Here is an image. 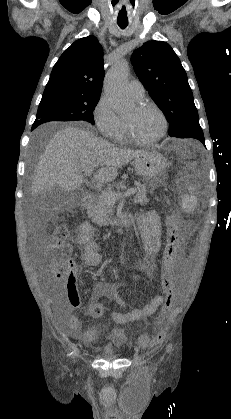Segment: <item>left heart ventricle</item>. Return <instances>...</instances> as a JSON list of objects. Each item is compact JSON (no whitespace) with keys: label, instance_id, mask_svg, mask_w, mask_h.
I'll list each match as a JSON object with an SVG mask.
<instances>
[{"label":"left heart ventricle","instance_id":"left-heart-ventricle-1","mask_svg":"<svg viewBox=\"0 0 231 419\" xmlns=\"http://www.w3.org/2000/svg\"><path fill=\"white\" fill-rule=\"evenodd\" d=\"M125 119L134 135L141 139L153 138L162 129V120L153 110H139L135 107Z\"/></svg>","mask_w":231,"mask_h":419}]
</instances>
